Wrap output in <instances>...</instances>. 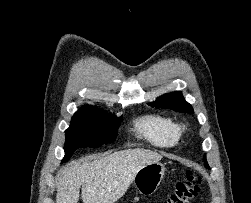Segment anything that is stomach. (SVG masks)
<instances>
[{
	"mask_svg": "<svg viewBox=\"0 0 251 203\" xmlns=\"http://www.w3.org/2000/svg\"><path fill=\"white\" fill-rule=\"evenodd\" d=\"M165 173V166L160 162L148 164L141 168L135 178L134 185L142 195H152L160 185Z\"/></svg>",
	"mask_w": 251,
	"mask_h": 203,
	"instance_id": "obj_1",
	"label": "stomach"
}]
</instances>
